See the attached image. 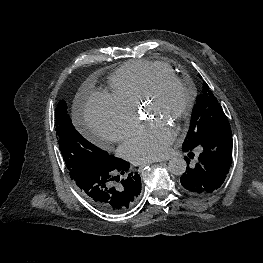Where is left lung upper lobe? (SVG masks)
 <instances>
[{"instance_id":"5c2ea615","label":"left lung upper lobe","mask_w":263,"mask_h":263,"mask_svg":"<svg viewBox=\"0 0 263 263\" xmlns=\"http://www.w3.org/2000/svg\"><path fill=\"white\" fill-rule=\"evenodd\" d=\"M230 126L226 115L206 82L196 98L189 131L182 147H193L217 127Z\"/></svg>"}]
</instances>
